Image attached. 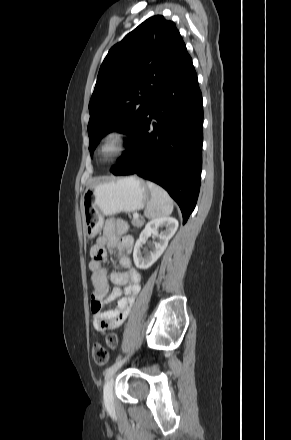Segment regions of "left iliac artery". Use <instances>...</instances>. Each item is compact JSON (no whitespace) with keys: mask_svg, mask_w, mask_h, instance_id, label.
I'll use <instances>...</instances> for the list:
<instances>
[{"mask_svg":"<svg viewBox=\"0 0 291 440\" xmlns=\"http://www.w3.org/2000/svg\"><path fill=\"white\" fill-rule=\"evenodd\" d=\"M126 359L119 360L105 370V380H107L124 362Z\"/></svg>","mask_w":291,"mask_h":440,"instance_id":"obj_1","label":"left iliac artery"}]
</instances>
